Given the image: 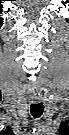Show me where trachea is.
Wrapping results in <instances>:
<instances>
[{
	"label": "trachea",
	"mask_w": 69,
	"mask_h": 135,
	"mask_svg": "<svg viewBox=\"0 0 69 135\" xmlns=\"http://www.w3.org/2000/svg\"><path fill=\"white\" fill-rule=\"evenodd\" d=\"M31 114L34 118H39L44 111V105L42 103L32 104L30 107Z\"/></svg>",
	"instance_id": "trachea-1"
}]
</instances>
